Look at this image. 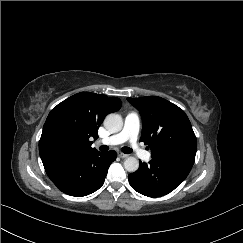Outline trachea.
Wrapping results in <instances>:
<instances>
[{
  "instance_id": "1",
  "label": "trachea",
  "mask_w": 243,
  "mask_h": 243,
  "mask_svg": "<svg viewBox=\"0 0 243 243\" xmlns=\"http://www.w3.org/2000/svg\"><path fill=\"white\" fill-rule=\"evenodd\" d=\"M100 150L103 151V152H105V151L109 150V147L106 146V145H102V146L100 147ZM122 151H123V153H125V154H130V153H132V149L129 148V147H123V148H122Z\"/></svg>"
}]
</instances>
